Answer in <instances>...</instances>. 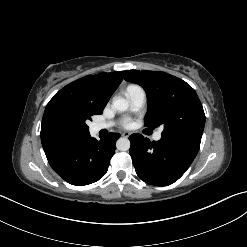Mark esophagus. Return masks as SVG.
Returning a JSON list of instances; mask_svg holds the SVG:
<instances>
[{"label": "esophagus", "instance_id": "34e87169", "mask_svg": "<svg viewBox=\"0 0 247 247\" xmlns=\"http://www.w3.org/2000/svg\"><path fill=\"white\" fill-rule=\"evenodd\" d=\"M130 135H131L130 132H123V133H122V136H123V137H129Z\"/></svg>", "mask_w": 247, "mask_h": 247}]
</instances>
